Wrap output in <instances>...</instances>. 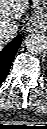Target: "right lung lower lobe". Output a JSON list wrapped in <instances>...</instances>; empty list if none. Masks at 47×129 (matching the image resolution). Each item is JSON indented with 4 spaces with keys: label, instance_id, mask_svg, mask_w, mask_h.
Listing matches in <instances>:
<instances>
[{
    "label": "right lung lower lobe",
    "instance_id": "right-lung-lower-lobe-1",
    "mask_svg": "<svg viewBox=\"0 0 47 129\" xmlns=\"http://www.w3.org/2000/svg\"><path fill=\"white\" fill-rule=\"evenodd\" d=\"M22 41V36L17 35L2 51H0V84L6 78L13 58Z\"/></svg>",
    "mask_w": 47,
    "mask_h": 129
}]
</instances>
